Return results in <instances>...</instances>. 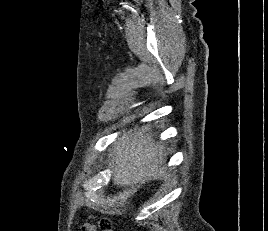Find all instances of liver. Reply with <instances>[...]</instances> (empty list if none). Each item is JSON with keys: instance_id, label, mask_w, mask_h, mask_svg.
Returning a JSON list of instances; mask_svg holds the SVG:
<instances>
[{"instance_id": "obj_1", "label": "liver", "mask_w": 268, "mask_h": 231, "mask_svg": "<svg viewBox=\"0 0 268 231\" xmlns=\"http://www.w3.org/2000/svg\"><path fill=\"white\" fill-rule=\"evenodd\" d=\"M163 146L153 139L148 127L124 133L114 142L109 153L112 180L117 186L134 184L166 177Z\"/></svg>"}]
</instances>
